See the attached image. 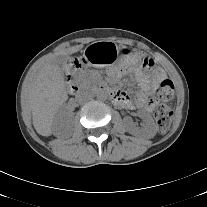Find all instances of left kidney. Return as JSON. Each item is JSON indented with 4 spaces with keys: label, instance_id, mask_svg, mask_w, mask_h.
<instances>
[{
    "label": "left kidney",
    "instance_id": "1",
    "mask_svg": "<svg viewBox=\"0 0 207 207\" xmlns=\"http://www.w3.org/2000/svg\"><path fill=\"white\" fill-rule=\"evenodd\" d=\"M138 115L144 120L145 124L141 129L134 126V124L126 120L127 131L132 135H141L145 138H153L157 133V126L152 116L145 111H138Z\"/></svg>",
    "mask_w": 207,
    "mask_h": 207
}]
</instances>
